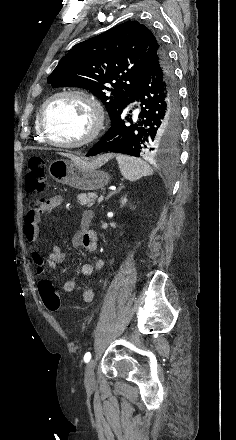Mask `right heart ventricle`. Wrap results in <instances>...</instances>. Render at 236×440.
I'll list each match as a JSON object with an SVG mask.
<instances>
[{
    "mask_svg": "<svg viewBox=\"0 0 236 440\" xmlns=\"http://www.w3.org/2000/svg\"><path fill=\"white\" fill-rule=\"evenodd\" d=\"M37 117H38V115H37ZM37 117H36V121H35V131H36V135H37V140L39 142H44L45 140L43 139V136L41 134V131H40V128L38 125V121H37Z\"/></svg>",
    "mask_w": 236,
    "mask_h": 440,
    "instance_id": "1",
    "label": "right heart ventricle"
}]
</instances>
